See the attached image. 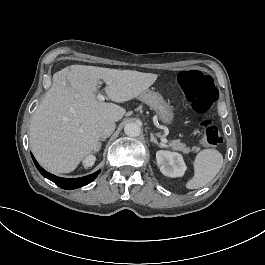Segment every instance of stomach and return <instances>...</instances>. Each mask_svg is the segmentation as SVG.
I'll return each instance as SVG.
<instances>
[{
  "instance_id": "0dacf381",
  "label": "stomach",
  "mask_w": 265,
  "mask_h": 265,
  "mask_svg": "<svg viewBox=\"0 0 265 265\" xmlns=\"http://www.w3.org/2000/svg\"><path fill=\"white\" fill-rule=\"evenodd\" d=\"M140 99L155 111L163 124H173L175 119L174 110L160 93L147 89L140 94Z\"/></svg>"
}]
</instances>
